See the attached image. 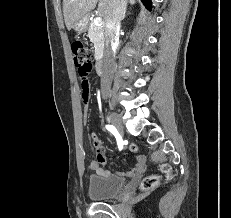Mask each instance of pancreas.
Segmentation results:
<instances>
[{"mask_svg": "<svg viewBox=\"0 0 231 218\" xmlns=\"http://www.w3.org/2000/svg\"><path fill=\"white\" fill-rule=\"evenodd\" d=\"M88 36L94 43L96 53H100L104 47V29L102 26H96L93 21L89 22Z\"/></svg>", "mask_w": 231, "mask_h": 218, "instance_id": "pancreas-1", "label": "pancreas"}]
</instances>
